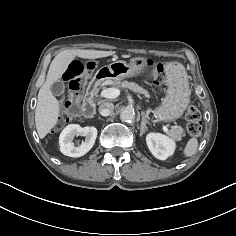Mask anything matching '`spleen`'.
I'll return each instance as SVG.
<instances>
[{
    "label": "spleen",
    "mask_w": 236,
    "mask_h": 236,
    "mask_svg": "<svg viewBox=\"0 0 236 236\" xmlns=\"http://www.w3.org/2000/svg\"><path fill=\"white\" fill-rule=\"evenodd\" d=\"M187 82V81H186ZM188 83V82H187ZM198 147V141L196 138H191L188 140L186 147L183 151L185 157H191L195 154Z\"/></svg>",
    "instance_id": "spleen-1"
}]
</instances>
